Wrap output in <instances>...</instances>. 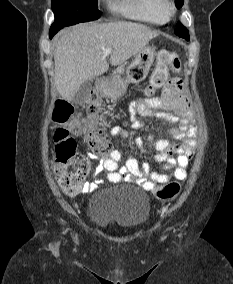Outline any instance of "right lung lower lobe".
Wrapping results in <instances>:
<instances>
[{"label":"right lung lower lobe","instance_id":"98d812e1","mask_svg":"<svg viewBox=\"0 0 233 284\" xmlns=\"http://www.w3.org/2000/svg\"><path fill=\"white\" fill-rule=\"evenodd\" d=\"M50 38H52L54 35L53 34H49Z\"/></svg>","mask_w":233,"mask_h":284}]
</instances>
